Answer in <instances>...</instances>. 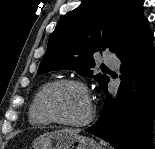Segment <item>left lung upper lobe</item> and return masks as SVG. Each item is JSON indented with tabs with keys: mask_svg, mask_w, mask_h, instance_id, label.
Wrapping results in <instances>:
<instances>
[{
	"mask_svg": "<svg viewBox=\"0 0 155 149\" xmlns=\"http://www.w3.org/2000/svg\"><path fill=\"white\" fill-rule=\"evenodd\" d=\"M146 18L141 0H85L68 12L51 33L37 74L75 70L103 87L107 75H93V55L116 52L140 29Z\"/></svg>",
	"mask_w": 155,
	"mask_h": 149,
	"instance_id": "left-lung-upper-lobe-1",
	"label": "left lung upper lobe"
}]
</instances>
